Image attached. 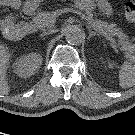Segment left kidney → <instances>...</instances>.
I'll return each instance as SVG.
<instances>
[{
    "label": "left kidney",
    "instance_id": "obj_1",
    "mask_svg": "<svg viewBox=\"0 0 135 135\" xmlns=\"http://www.w3.org/2000/svg\"><path fill=\"white\" fill-rule=\"evenodd\" d=\"M113 65H114L113 62H109V61H108V66H109L110 68L113 67Z\"/></svg>",
    "mask_w": 135,
    "mask_h": 135
}]
</instances>
